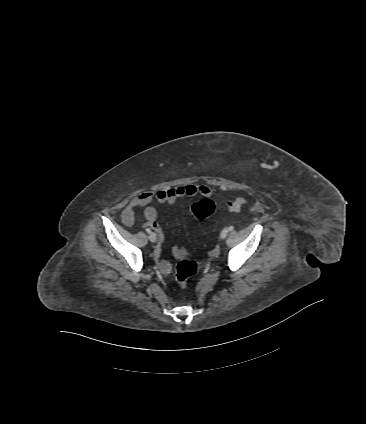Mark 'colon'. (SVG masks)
Returning a JSON list of instances; mask_svg holds the SVG:
<instances>
[{
    "mask_svg": "<svg viewBox=\"0 0 366 424\" xmlns=\"http://www.w3.org/2000/svg\"><path fill=\"white\" fill-rule=\"evenodd\" d=\"M245 196H240L228 204L229 212H238L245 205ZM215 206L210 199H203L190 208L189 214L195 219H205L214 212ZM197 272V263L191 254H183L175 268V278L181 289H186L188 280Z\"/></svg>",
    "mask_w": 366,
    "mask_h": 424,
    "instance_id": "colon-1",
    "label": "colon"
}]
</instances>
